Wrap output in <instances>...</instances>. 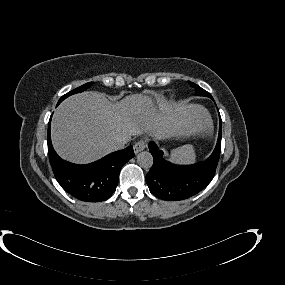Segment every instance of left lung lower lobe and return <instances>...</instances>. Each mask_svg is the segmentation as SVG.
I'll return each mask as SVG.
<instances>
[{
	"mask_svg": "<svg viewBox=\"0 0 285 285\" xmlns=\"http://www.w3.org/2000/svg\"><path fill=\"white\" fill-rule=\"evenodd\" d=\"M221 127L220 117L218 141L213 153L206 161L192 166H178L167 162L163 159V152L154 142H150L149 148L154 158L146 175L150 192L162 200L178 201L194 196L204 189L213 179L219 161Z\"/></svg>",
	"mask_w": 285,
	"mask_h": 285,
	"instance_id": "left-lung-lower-lobe-1",
	"label": "left lung lower lobe"
}]
</instances>
